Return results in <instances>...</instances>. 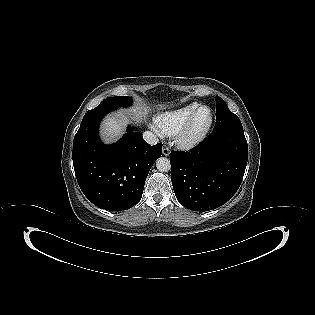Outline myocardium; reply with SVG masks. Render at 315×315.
<instances>
[{"mask_svg": "<svg viewBox=\"0 0 315 315\" xmlns=\"http://www.w3.org/2000/svg\"><path fill=\"white\" fill-rule=\"evenodd\" d=\"M206 109L210 113L207 125L198 133H193V125L199 112ZM214 122V113L208 105H200L188 118L186 123L175 135L176 145L183 150H190L202 143L209 134Z\"/></svg>", "mask_w": 315, "mask_h": 315, "instance_id": "1", "label": "myocardium"}]
</instances>
